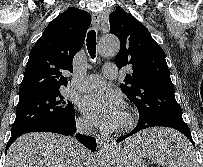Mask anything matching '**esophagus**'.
<instances>
[{
  "label": "esophagus",
  "instance_id": "34e87169",
  "mask_svg": "<svg viewBox=\"0 0 203 167\" xmlns=\"http://www.w3.org/2000/svg\"><path fill=\"white\" fill-rule=\"evenodd\" d=\"M92 21L96 30H100L101 17L98 13L92 14ZM111 137L108 135H101L97 138V146L99 149H107L110 146Z\"/></svg>",
  "mask_w": 203,
  "mask_h": 167
}]
</instances>
